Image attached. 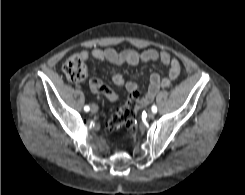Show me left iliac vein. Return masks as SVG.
Listing matches in <instances>:
<instances>
[{"instance_id":"obj_1","label":"left iliac vein","mask_w":245,"mask_h":195,"mask_svg":"<svg viewBox=\"0 0 245 195\" xmlns=\"http://www.w3.org/2000/svg\"><path fill=\"white\" fill-rule=\"evenodd\" d=\"M154 116H155V114H154L152 111H149V112H148V118H149V119H153Z\"/></svg>"}]
</instances>
